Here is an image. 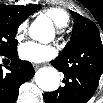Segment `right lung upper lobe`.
<instances>
[{
  "label": "right lung upper lobe",
  "mask_w": 103,
  "mask_h": 103,
  "mask_svg": "<svg viewBox=\"0 0 103 103\" xmlns=\"http://www.w3.org/2000/svg\"><path fill=\"white\" fill-rule=\"evenodd\" d=\"M0 9L10 13L13 16L20 17V18H27L29 15L36 12L38 6L35 5H15V6H8V5H0Z\"/></svg>",
  "instance_id": "1"
}]
</instances>
